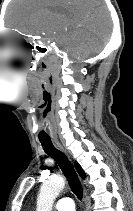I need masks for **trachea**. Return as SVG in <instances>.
<instances>
[{
	"label": "trachea",
	"mask_w": 133,
	"mask_h": 211,
	"mask_svg": "<svg viewBox=\"0 0 133 211\" xmlns=\"http://www.w3.org/2000/svg\"><path fill=\"white\" fill-rule=\"evenodd\" d=\"M40 142L44 151L56 160L57 164L65 175L72 192L80 200L83 196L82 185L78 179V176L72 164L70 163L66 155L62 151L57 149L53 145L51 140H40Z\"/></svg>",
	"instance_id": "1"
}]
</instances>
